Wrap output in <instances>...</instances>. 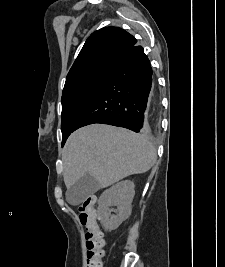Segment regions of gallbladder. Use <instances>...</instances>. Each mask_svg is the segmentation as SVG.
<instances>
[{
    "label": "gallbladder",
    "mask_w": 225,
    "mask_h": 267,
    "mask_svg": "<svg viewBox=\"0 0 225 267\" xmlns=\"http://www.w3.org/2000/svg\"><path fill=\"white\" fill-rule=\"evenodd\" d=\"M98 190V181L91 175L86 174L66 191V200L69 204L76 206Z\"/></svg>",
    "instance_id": "obj_1"
}]
</instances>
